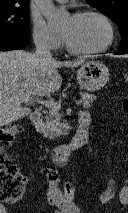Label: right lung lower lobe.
Instances as JSON below:
<instances>
[{"label": "right lung lower lobe", "instance_id": "1", "mask_svg": "<svg viewBox=\"0 0 128 213\" xmlns=\"http://www.w3.org/2000/svg\"><path fill=\"white\" fill-rule=\"evenodd\" d=\"M28 41L17 37H0V51L22 49L28 45Z\"/></svg>", "mask_w": 128, "mask_h": 213}]
</instances>
